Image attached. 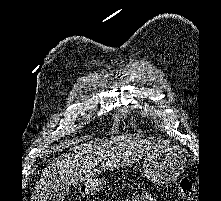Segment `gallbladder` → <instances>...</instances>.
<instances>
[{
	"label": "gallbladder",
	"mask_w": 221,
	"mask_h": 201,
	"mask_svg": "<svg viewBox=\"0 0 221 201\" xmlns=\"http://www.w3.org/2000/svg\"><path fill=\"white\" fill-rule=\"evenodd\" d=\"M69 187L68 186H61L56 188L51 192L49 195L50 201H64L66 196L69 194Z\"/></svg>",
	"instance_id": "bac80fb5"
}]
</instances>
